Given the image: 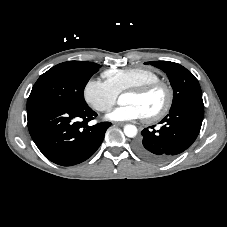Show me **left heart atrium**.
<instances>
[{
	"mask_svg": "<svg viewBox=\"0 0 227 227\" xmlns=\"http://www.w3.org/2000/svg\"><path fill=\"white\" fill-rule=\"evenodd\" d=\"M144 117L139 107L133 104H123L113 109L107 118L113 121H130Z\"/></svg>",
	"mask_w": 227,
	"mask_h": 227,
	"instance_id": "1",
	"label": "left heart atrium"
}]
</instances>
